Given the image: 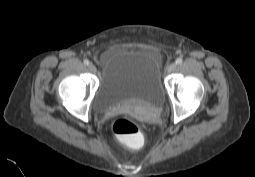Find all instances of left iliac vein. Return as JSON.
Wrapping results in <instances>:
<instances>
[{"instance_id": "left-iliac-vein-1", "label": "left iliac vein", "mask_w": 255, "mask_h": 177, "mask_svg": "<svg viewBox=\"0 0 255 177\" xmlns=\"http://www.w3.org/2000/svg\"><path fill=\"white\" fill-rule=\"evenodd\" d=\"M176 69V64L175 63H171L168 68H167V71L169 73L173 72L174 70Z\"/></svg>"}]
</instances>
